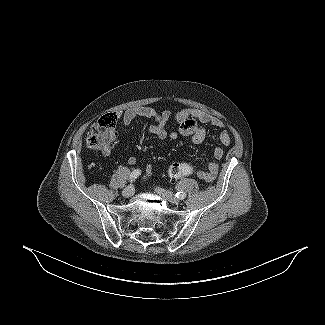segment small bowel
<instances>
[{
	"label": "small bowel",
	"instance_id": "obj_1",
	"mask_svg": "<svg viewBox=\"0 0 325 325\" xmlns=\"http://www.w3.org/2000/svg\"><path fill=\"white\" fill-rule=\"evenodd\" d=\"M118 117L124 126L130 125L137 118H149L154 120V124L149 128V132L157 138L164 140L169 137L171 140L177 139L179 135L189 137L194 144L202 143L206 138V129L201 124H210L215 127L222 128L223 123L215 118H212L206 112L194 109L184 108L176 114L178 128L176 132L168 134L166 124L170 119L169 111L157 112L151 107L139 106L130 108L123 113H118ZM220 141L224 145L231 143V135L227 130H223L220 134ZM104 156L110 155V149L106 148L102 151ZM224 155L222 147H216L213 152L214 159L208 164L206 170L195 169L194 174L203 181H212L218 172V160ZM129 164H136L138 159L130 157ZM192 173V174H193ZM151 174V165L145 166V178Z\"/></svg>",
	"mask_w": 325,
	"mask_h": 325
}]
</instances>
